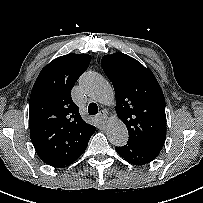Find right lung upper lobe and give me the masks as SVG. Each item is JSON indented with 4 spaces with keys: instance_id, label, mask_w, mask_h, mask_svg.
<instances>
[{
    "instance_id": "obj_1",
    "label": "right lung upper lobe",
    "mask_w": 203,
    "mask_h": 203,
    "mask_svg": "<svg viewBox=\"0 0 203 203\" xmlns=\"http://www.w3.org/2000/svg\"><path fill=\"white\" fill-rule=\"evenodd\" d=\"M90 60L87 54L58 57L41 70L32 88L30 137L37 154L48 165H70L82 155L95 132V126L83 121L71 98V90Z\"/></svg>"
}]
</instances>
